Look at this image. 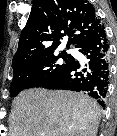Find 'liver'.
Returning a JSON list of instances; mask_svg holds the SVG:
<instances>
[{
	"label": "liver",
	"instance_id": "liver-1",
	"mask_svg": "<svg viewBox=\"0 0 117 136\" xmlns=\"http://www.w3.org/2000/svg\"><path fill=\"white\" fill-rule=\"evenodd\" d=\"M101 108L89 96L33 88L14 99L9 136H96Z\"/></svg>",
	"mask_w": 117,
	"mask_h": 136
}]
</instances>
